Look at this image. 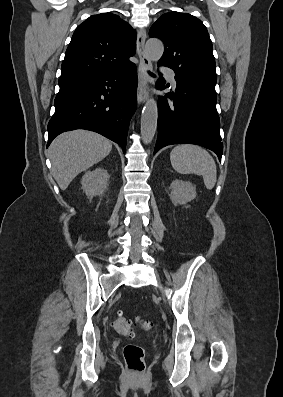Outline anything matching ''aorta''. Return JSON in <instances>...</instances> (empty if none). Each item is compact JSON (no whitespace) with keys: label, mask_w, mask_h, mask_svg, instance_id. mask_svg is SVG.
I'll list each match as a JSON object with an SVG mask.
<instances>
[{"label":"aorta","mask_w":283,"mask_h":397,"mask_svg":"<svg viewBox=\"0 0 283 397\" xmlns=\"http://www.w3.org/2000/svg\"><path fill=\"white\" fill-rule=\"evenodd\" d=\"M145 51L151 61H158L163 55V44L158 39H149L145 45ZM158 107L154 98L150 97L141 115V136L145 144H149L157 130Z\"/></svg>","instance_id":"1"}]
</instances>
